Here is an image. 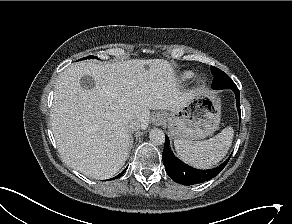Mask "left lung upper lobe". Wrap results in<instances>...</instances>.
Returning <instances> with one entry per match:
<instances>
[{"instance_id": "obj_1", "label": "left lung upper lobe", "mask_w": 292, "mask_h": 224, "mask_svg": "<svg viewBox=\"0 0 292 224\" xmlns=\"http://www.w3.org/2000/svg\"><path fill=\"white\" fill-rule=\"evenodd\" d=\"M211 71L214 76L212 83L213 89H223L224 86L230 85L231 82H233L231 78L220 69L211 66Z\"/></svg>"}]
</instances>
